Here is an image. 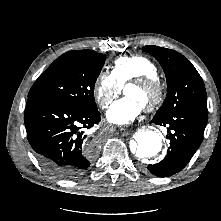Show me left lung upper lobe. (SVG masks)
Here are the masks:
<instances>
[{"label":"left lung upper lobe","instance_id":"1","mask_svg":"<svg viewBox=\"0 0 221 221\" xmlns=\"http://www.w3.org/2000/svg\"><path fill=\"white\" fill-rule=\"evenodd\" d=\"M162 66L167 80V96L154 117H166L185 110L208 114L204 82L195 67L180 53L158 46L142 49Z\"/></svg>","mask_w":221,"mask_h":221}]
</instances>
